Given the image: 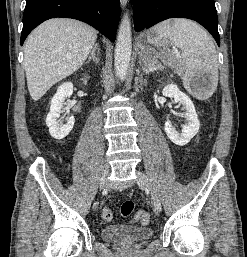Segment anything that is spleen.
I'll return each mask as SVG.
<instances>
[{
  "label": "spleen",
  "instance_id": "1",
  "mask_svg": "<svg viewBox=\"0 0 247 257\" xmlns=\"http://www.w3.org/2000/svg\"><path fill=\"white\" fill-rule=\"evenodd\" d=\"M152 31L155 36L148 39L150 43L157 45L159 39L165 38L181 49L185 88L190 90L193 77L210 75L209 87L198 95L201 99L209 98L218 84V56L211 37L197 23L181 18L163 21Z\"/></svg>",
  "mask_w": 247,
  "mask_h": 257
}]
</instances>
